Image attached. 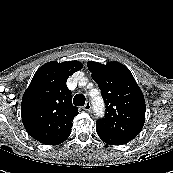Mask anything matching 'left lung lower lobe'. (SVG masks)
Masks as SVG:
<instances>
[{"label":"left lung lower lobe","mask_w":173,"mask_h":173,"mask_svg":"<svg viewBox=\"0 0 173 173\" xmlns=\"http://www.w3.org/2000/svg\"><path fill=\"white\" fill-rule=\"evenodd\" d=\"M96 131H97L99 137L101 138V140L104 141L107 144H110V145H123V144L127 143L126 141H123V140L117 139L115 137H112V136L106 134L105 132H103L101 130L96 129Z\"/></svg>","instance_id":"obj_1"}]
</instances>
